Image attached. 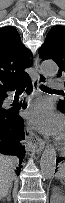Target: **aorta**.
<instances>
[{"instance_id":"762f6f07","label":"aorta","mask_w":65,"mask_h":203,"mask_svg":"<svg viewBox=\"0 0 65 203\" xmlns=\"http://www.w3.org/2000/svg\"><path fill=\"white\" fill-rule=\"evenodd\" d=\"M41 72L45 76H55L58 72L57 64L52 60H46L41 64ZM57 154L53 146H47L40 159V169L43 178L50 179L56 170Z\"/></svg>"}]
</instances>
